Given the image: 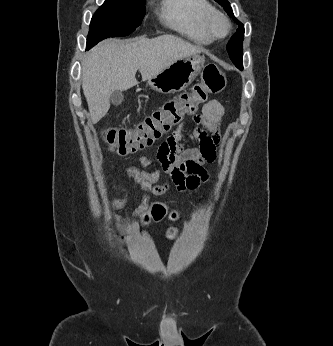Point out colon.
<instances>
[{"label":"colon","mask_w":333,"mask_h":346,"mask_svg":"<svg viewBox=\"0 0 333 346\" xmlns=\"http://www.w3.org/2000/svg\"><path fill=\"white\" fill-rule=\"evenodd\" d=\"M225 84L226 80L220 69L215 64H209L204 68L200 82L195 84L191 91L167 101L132 129H106L105 139L112 150L119 155H127L150 146L185 116L193 115L196 120L198 107L211 95L220 93ZM166 214V208L160 203H155L151 207L150 214L145 215L144 223L159 222ZM171 218L176 219V214L172 213Z\"/></svg>","instance_id":"1"}]
</instances>
